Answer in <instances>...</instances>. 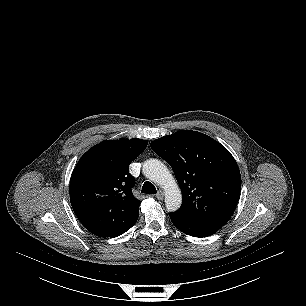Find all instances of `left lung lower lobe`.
I'll return each mask as SVG.
<instances>
[{
  "label": "left lung lower lobe",
  "instance_id": "left-lung-lower-lobe-1",
  "mask_svg": "<svg viewBox=\"0 0 306 306\" xmlns=\"http://www.w3.org/2000/svg\"><path fill=\"white\" fill-rule=\"evenodd\" d=\"M172 223L182 232L194 237H207L217 232L222 226L198 223L186 219L176 212L169 214Z\"/></svg>",
  "mask_w": 306,
  "mask_h": 306
}]
</instances>
